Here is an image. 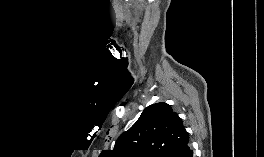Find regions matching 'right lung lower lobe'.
Listing matches in <instances>:
<instances>
[{"instance_id":"obj_1","label":"right lung lower lobe","mask_w":264,"mask_h":157,"mask_svg":"<svg viewBox=\"0 0 264 157\" xmlns=\"http://www.w3.org/2000/svg\"><path fill=\"white\" fill-rule=\"evenodd\" d=\"M174 157H194L193 150L190 148V145L187 144Z\"/></svg>"}]
</instances>
